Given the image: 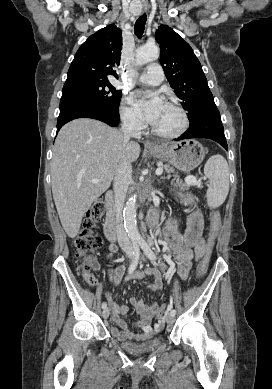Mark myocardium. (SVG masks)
Wrapping results in <instances>:
<instances>
[{
	"mask_svg": "<svg viewBox=\"0 0 272 389\" xmlns=\"http://www.w3.org/2000/svg\"><path fill=\"white\" fill-rule=\"evenodd\" d=\"M165 104L174 108L179 113L180 118H181L180 125L178 126L177 129H175L174 131H170V132L158 130L152 125L151 131L154 135L161 137V138H166V139L176 138V137L182 135L187 130V128L189 126L188 114H187L186 110L184 109V107L180 103H178L177 101L167 100L165 102Z\"/></svg>",
	"mask_w": 272,
	"mask_h": 389,
	"instance_id": "f54148a6",
	"label": "myocardium"
}]
</instances>
